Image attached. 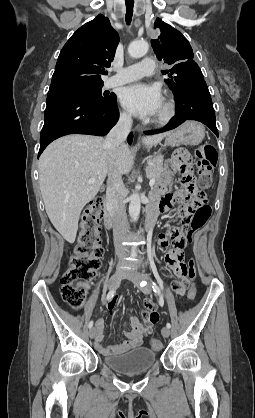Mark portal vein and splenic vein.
<instances>
[{"instance_id": "obj_1", "label": "portal vein and splenic vein", "mask_w": 255, "mask_h": 418, "mask_svg": "<svg viewBox=\"0 0 255 418\" xmlns=\"http://www.w3.org/2000/svg\"><path fill=\"white\" fill-rule=\"evenodd\" d=\"M93 182H95V178H91L88 183L91 184ZM154 184H155V179L154 178H151L150 179V182H149V186L150 187H153Z\"/></svg>"}]
</instances>
